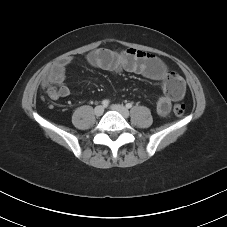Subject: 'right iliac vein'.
I'll list each match as a JSON object with an SVG mask.
<instances>
[{"label": "right iliac vein", "instance_id": "1", "mask_svg": "<svg viewBox=\"0 0 227 227\" xmlns=\"http://www.w3.org/2000/svg\"><path fill=\"white\" fill-rule=\"evenodd\" d=\"M103 112H104V107L101 105L95 107V109H94V113L96 116H101L103 114Z\"/></svg>", "mask_w": 227, "mask_h": 227}]
</instances>
